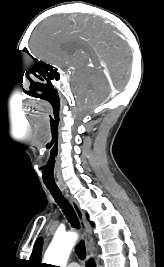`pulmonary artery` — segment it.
<instances>
[{
  "instance_id": "pulmonary-artery-1",
  "label": "pulmonary artery",
  "mask_w": 164,
  "mask_h": 267,
  "mask_svg": "<svg viewBox=\"0 0 164 267\" xmlns=\"http://www.w3.org/2000/svg\"><path fill=\"white\" fill-rule=\"evenodd\" d=\"M67 267H80V266H79L78 263H76V262H72V263L68 264Z\"/></svg>"
}]
</instances>
